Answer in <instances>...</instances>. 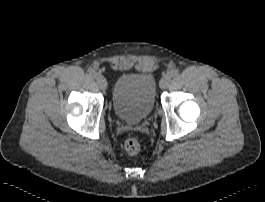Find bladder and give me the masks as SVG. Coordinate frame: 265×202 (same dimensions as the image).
<instances>
[{
  "label": "bladder",
  "instance_id": "bladder-1",
  "mask_svg": "<svg viewBox=\"0 0 265 202\" xmlns=\"http://www.w3.org/2000/svg\"><path fill=\"white\" fill-rule=\"evenodd\" d=\"M156 87V80L149 74L129 73L119 76L112 93L116 116L127 123L144 120L154 108Z\"/></svg>",
  "mask_w": 265,
  "mask_h": 202
}]
</instances>
